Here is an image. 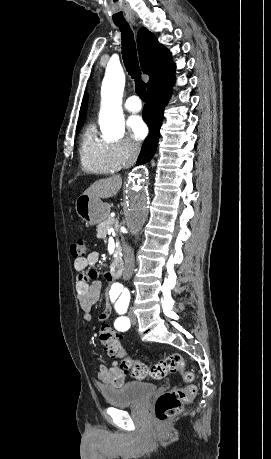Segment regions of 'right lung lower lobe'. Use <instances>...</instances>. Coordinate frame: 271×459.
Instances as JSON below:
<instances>
[{
  "label": "right lung lower lobe",
  "mask_w": 271,
  "mask_h": 459,
  "mask_svg": "<svg viewBox=\"0 0 271 459\" xmlns=\"http://www.w3.org/2000/svg\"><path fill=\"white\" fill-rule=\"evenodd\" d=\"M174 81L175 77L172 73L148 88V104L144 107L143 118L150 128V133L143 143L137 165L150 161L156 152L164 108L168 103Z\"/></svg>",
  "instance_id": "98d812e1"
}]
</instances>
